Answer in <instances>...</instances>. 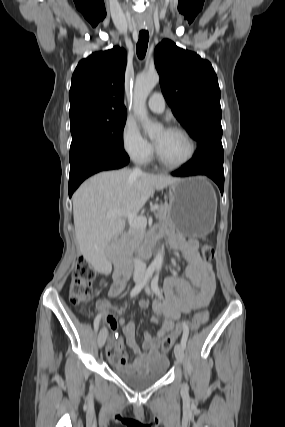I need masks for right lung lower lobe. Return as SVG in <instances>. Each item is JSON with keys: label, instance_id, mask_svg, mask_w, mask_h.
I'll use <instances>...</instances> for the list:
<instances>
[{"label": "right lung lower lobe", "instance_id": "1", "mask_svg": "<svg viewBox=\"0 0 285 427\" xmlns=\"http://www.w3.org/2000/svg\"><path fill=\"white\" fill-rule=\"evenodd\" d=\"M129 162L125 151L119 152L102 146H89L81 150L70 162L69 196L89 176L104 170L119 169Z\"/></svg>", "mask_w": 285, "mask_h": 427}]
</instances>
